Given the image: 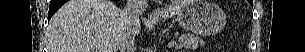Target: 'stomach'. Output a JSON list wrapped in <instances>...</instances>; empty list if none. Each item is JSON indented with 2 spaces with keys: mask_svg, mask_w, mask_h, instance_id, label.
<instances>
[{
  "mask_svg": "<svg viewBox=\"0 0 305 52\" xmlns=\"http://www.w3.org/2000/svg\"><path fill=\"white\" fill-rule=\"evenodd\" d=\"M176 15L183 28L202 35L218 33L226 22L222 9L206 0H192Z\"/></svg>",
  "mask_w": 305,
  "mask_h": 52,
  "instance_id": "1",
  "label": "stomach"
}]
</instances>
